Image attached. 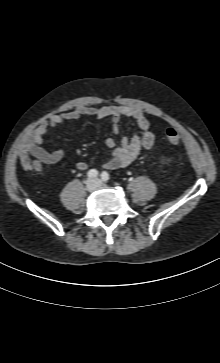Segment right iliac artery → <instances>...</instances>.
Instances as JSON below:
<instances>
[{"instance_id": "obj_1", "label": "right iliac artery", "mask_w": 220, "mask_h": 363, "mask_svg": "<svg viewBox=\"0 0 220 363\" xmlns=\"http://www.w3.org/2000/svg\"><path fill=\"white\" fill-rule=\"evenodd\" d=\"M98 171L97 170H95V169H91V170H89L88 171V173H87V176L89 177V178H95V177H97L98 176Z\"/></svg>"}]
</instances>
